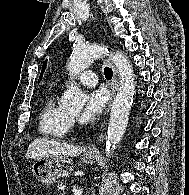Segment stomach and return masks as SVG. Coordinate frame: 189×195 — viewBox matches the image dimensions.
I'll return each mask as SVG.
<instances>
[{
	"label": "stomach",
	"instance_id": "obj_1",
	"mask_svg": "<svg viewBox=\"0 0 189 195\" xmlns=\"http://www.w3.org/2000/svg\"><path fill=\"white\" fill-rule=\"evenodd\" d=\"M97 158L96 151L85 150L81 159L86 164H92ZM73 167V161L70 158L49 156L36 159L32 165V172L38 181L51 185L58 182L60 178L68 176Z\"/></svg>",
	"mask_w": 189,
	"mask_h": 195
}]
</instances>
